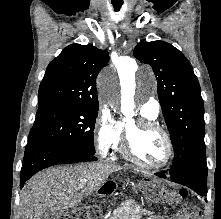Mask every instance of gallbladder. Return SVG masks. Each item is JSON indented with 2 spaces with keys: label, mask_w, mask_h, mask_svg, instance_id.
<instances>
[{
  "label": "gallbladder",
  "mask_w": 221,
  "mask_h": 219,
  "mask_svg": "<svg viewBox=\"0 0 221 219\" xmlns=\"http://www.w3.org/2000/svg\"><path fill=\"white\" fill-rule=\"evenodd\" d=\"M61 212H51L48 211L41 219H61Z\"/></svg>",
  "instance_id": "1"
}]
</instances>
